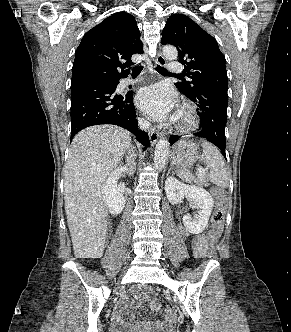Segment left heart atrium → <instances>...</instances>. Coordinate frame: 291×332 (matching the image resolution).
<instances>
[{
	"label": "left heart atrium",
	"instance_id": "left-heart-atrium-1",
	"mask_svg": "<svg viewBox=\"0 0 291 332\" xmlns=\"http://www.w3.org/2000/svg\"><path fill=\"white\" fill-rule=\"evenodd\" d=\"M177 97L165 84L143 88L137 95V105L148 116L166 119L176 105Z\"/></svg>",
	"mask_w": 291,
	"mask_h": 332
}]
</instances>
